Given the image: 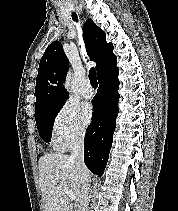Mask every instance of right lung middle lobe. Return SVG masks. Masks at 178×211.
Wrapping results in <instances>:
<instances>
[{
  "label": "right lung middle lobe",
  "instance_id": "obj_1",
  "mask_svg": "<svg viewBox=\"0 0 178 211\" xmlns=\"http://www.w3.org/2000/svg\"><path fill=\"white\" fill-rule=\"evenodd\" d=\"M64 103L49 106L36 114V125L40 137L45 141H51V130L55 120V115L63 107Z\"/></svg>",
  "mask_w": 178,
  "mask_h": 211
}]
</instances>
